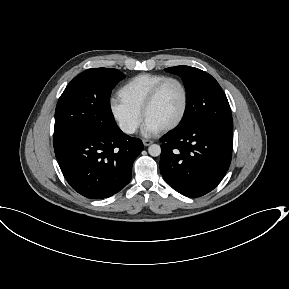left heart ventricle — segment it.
<instances>
[{
	"label": "left heart ventricle",
	"instance_id": "left-heart-ventricle-1",
	"mask_svg": "<svg viewBox=\"0 0 289 289\" xmlns=\"http://www.w3.org/2000/svg\"><path fill=\"white\" fill-rule=\"evenodd\" d=\"M183 106V92L175 82L167 83L146 114V121L163 128L174 122Z\"/></svg>",
	"mask_w": 289,
	"mask_h": 289
}]
</instances>
